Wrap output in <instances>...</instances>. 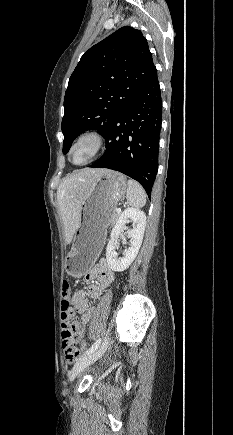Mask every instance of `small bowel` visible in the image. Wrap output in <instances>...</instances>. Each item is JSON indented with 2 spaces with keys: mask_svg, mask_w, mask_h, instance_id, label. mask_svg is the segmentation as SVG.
<instances>
[{
  "mask_svg": "<svg viewBox=\"0 0 233 435\" xmlns=\"http://www.w3.org/2000/svg\"><path fill=\"white\" fill-rule=\"evenodd\" d=\"M85 279L91 281L88 286L75 291L70 298L73 305L71 315L63 313L62 315V328H77L79 336V344L81 349L85 348V336L87 323L95 313V308L90 306V299L97 300L101 297L103 289L108 287L114 281V273L109 268L105 258L100 259L96 265L86 273ZM82 315V322L72 321V317L76 314Z\"/></svg>",
  "mask_w": 233,
  "mask_h": 435,
  "instance_id": "small-bowel-1",
  "label": "small bowel"
}]
</instances>
